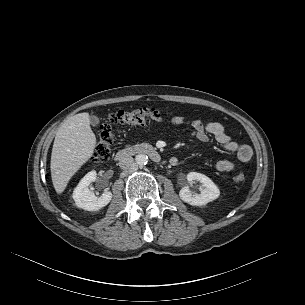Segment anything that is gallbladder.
<instances>
[{"label":"gallbladder","mask_w":305,"mask_h":305,"mask_svg":"<svg viewBox=\"0 0 305 305\" xmlns=\"http://www.w3.org/2000/svg\"><path fill=\"white\" fill-rule=\"evenodd\" d=\"M99 122H100V119L97 116H95V115L90 116V123L92 126H94V127L97 126L99 124Z\"/></svg>","instance_id":"1"}]
</instances>
